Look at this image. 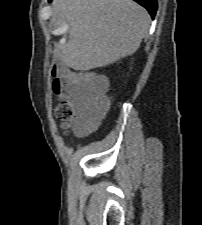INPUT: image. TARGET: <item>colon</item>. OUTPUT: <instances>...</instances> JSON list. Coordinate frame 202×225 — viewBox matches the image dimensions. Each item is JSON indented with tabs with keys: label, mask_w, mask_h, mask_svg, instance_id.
Returning a JSON list of instances; mask_svg holds the SVG:
<instances>
[{
	"label": "colon",
	"mask_w": 202,
	"mask_h": 225,
	"mask_svg": "<svg viewBox=\"0 0 202 225\" xmlns=\"http://www.w3.org/2000/svg\"><path fill=\"white\" fill-rule=\"evenodd\" d=\"M53 78V91L59 97H64L67 93H73L84 101L85 107L91 116L103 114L108 105L109 99L106 95V83L94 78L90 73H76L63 75L56 66L51 68ZM55 116L67 126L71 123L74 110L72 106L65 101L59 103L55 108ZM84 128V123L77 125V131Z\"/></svg>",
	"instance_id": "1"
}]
</instances>
